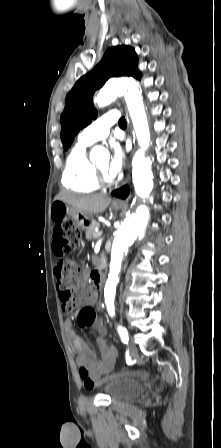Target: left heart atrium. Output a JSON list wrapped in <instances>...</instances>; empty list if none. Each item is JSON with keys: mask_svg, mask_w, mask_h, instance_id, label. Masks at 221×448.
Segmentation results:
<instances>
[{"mask_svg": "<svg viewBox=\"0 0 221 448\" xmlns=\"http://www.w3.org/2000/svg\"><path fill=\"white\" fill-rule=\"evenodd\" d=\"M124 153L121 148L117 145H114L112 148V156L107 165L106 173L110 178H115L122 171L124 166Z\"/></svg>", "mask_w": 221, "mask_h": 448, "instance_id": "obj_1", "label": "left heart atrium"}]
</instances>
